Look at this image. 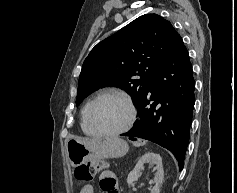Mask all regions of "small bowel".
Masks as SVG:
<instances>
[{
  "mask_svg": "<svg viewBox=\"0 0 237 193\" xmlns=\"http://www.w3.org/2000/svg\"><path fill=\"white\" fill-rule=\"evenodd\" d=\"M100 187L104 193H118L116 175L112 171H103L100 175ZM80 193H94V190L88 185Z\"/></svg>",
  "mask_w": 237,
  "mask_h": 193,
  "instance_id": "obj_1",
  "label": "small bowel"
}]
</instances>
